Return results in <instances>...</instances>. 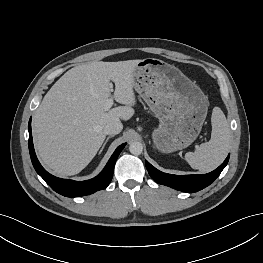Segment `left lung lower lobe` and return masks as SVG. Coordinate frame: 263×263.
Returning a JSON list of instances; mask_svg holds the SVG:
<instances>
[{
	"mask_svg": "<svg viewBox=\"0 0 263 263\" xmlns=\"http://www.w3.org/2000/svg\"><path fill=\"white\" fill-rule=\"evenodd\" d=\"M229 161V156L214 171L200 175H173L159 171L148 161H145L146 168L151 178L158 184L166 185L182 192H197L209 186L222 172Z\"/></svg>",
	"mask_w": 263,
	"mask_h": 263,
	"instance_id": "left-lung-lower-lobe-1",
	"label": "left lung lower lobe"
}]
</instances>
